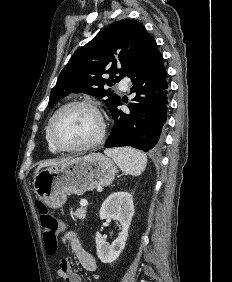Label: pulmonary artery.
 <instances>
[{
	"label": "pulmonary artery",
	"instance_id": "pulmonary-artery-1",
	"mask_svg": "<svg viewBox=\"0 0 232 282\" xmlns=\"http://www.w3.org/2000/svg\"><path fill=\"white\" fill-rule=\"evenodd\" d=\"M118 87H119L120 90L126 91L128 89L127 81L126 80L119 81Z\"/></svg>",
	"mask_w": 232,
	"mask_h": 282
}]
</instances>
